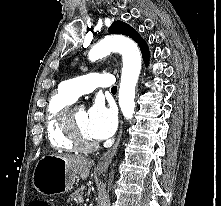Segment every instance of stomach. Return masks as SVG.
Here are the masks:
<instances>
[{
    "instance_id": "stomach-1",
    "label": "stomach",
    "mask_w": 221,
    "mask_h": 206,
    "mask_svg": "<svg viewBox=\"0 0 221 206\" xmlns=\"http://www.w3.org/2000/svg\"><path fill=\"white\" fill-rule=\"evenodd\" d=\"M76 178L77 175L69 168L63 158L48 155L37 162L32 182L38 192L45 195H57L69 191Z\"/></svg>"
}]
</instances>
